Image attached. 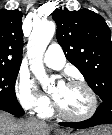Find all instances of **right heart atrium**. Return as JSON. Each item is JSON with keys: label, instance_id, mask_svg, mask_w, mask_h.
Wrapping results in <instances>:
<instances>
[{"label": "right heart atrium", "instance_id": "1", "mask_svg": "<svg viewBox=\"0 0 112 135\" xmlns=\"http://www.w3.org/2000/svg\"><path fill=\"white\" fill-rule=\"evenodd\" d=\"M15 95L20 105L31 112H41L49 106V99L38 90L24 73H19L17 76Z\"/></svg>", "mask_w": 112, "mask_h": 135}]
</instances>
